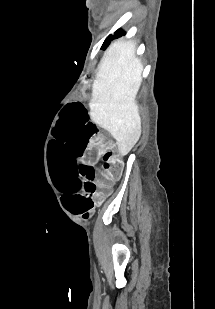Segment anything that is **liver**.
Masks as SVG:
<instances>
[{"instance_id": "6515ba94", "label": "liver", "mask_w": 215, "mask_h": 309, "mask_svg": "<svg viewBox=\"0 0 215 309\" xmlns=\"http://www.w3.org/2000/svg\"><path fill=\"white\" fill-rule=\"evenodd\" d=\"M143 68L135 40L119 38L105 50L92 84L91 116L95 120L97 114L101 126L116 138L121 155H127L140 138L136 94Z\"/></svg>"}]
</instances>
